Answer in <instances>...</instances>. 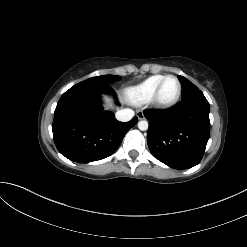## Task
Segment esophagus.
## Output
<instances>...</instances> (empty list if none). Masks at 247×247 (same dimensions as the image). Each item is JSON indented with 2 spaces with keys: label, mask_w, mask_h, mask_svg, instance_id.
Masks as SVG:
<instances>
[{
  "label": "esophagus",
  "mask_w": 247,
  "mask_h": 247,
  "mask_svg": "<svg viewBox=\"0 0 247 247\" xmlns=\"http://www.w3.org/2000/svg\"><path fill=\"white\" fill-rule=\"evenodd\" d=\"M136 115H137L139 120H142L145 118L144 113L142 111H138Z\"/></svg>",
  "instance_id": "esophagus-1"
}]
</instances>
